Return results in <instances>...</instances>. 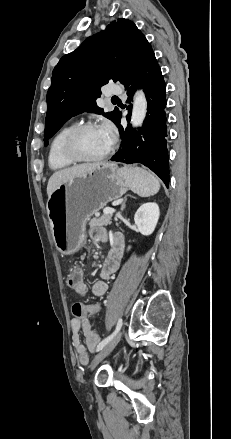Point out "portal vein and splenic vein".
<instances>
[{"instance_id":"obj_1","label":"portal vein and splenic vein","mask_w":231,"mask_h":439,"mask_svg":"<svg viewBox=\"0 0 231 439\" xmlns=\"http://www.w3.org/2000/svg\"><path fill=\"white\" fill-rule=\"evenodd\" d=\"M114 212H115V209H113V208H105V209L103 210V213H104L105 215L113 214Z\"/></svg>"}]
</instances>
